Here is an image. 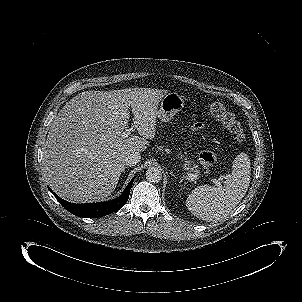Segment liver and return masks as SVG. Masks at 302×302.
Returning <instances> with one entry per match:
<instances>
[{
	"instance_id": "6515ba94",
	"label": "liver",
	"mask_w": 302,
	"mask_h": 302,
	"mask_svg": "<svg viewBox=\"0 0 302 302\" xmlns=\"http://www.w3.org/2000/svg\"><path fill=\"white\" fill-rule=\"evenodd\" d=\"M166 90L86 91L67 102L51 124L43 172L63 199L97 202L115 190L129 152L144 151L156 132V105ZM141 136L123 138L129 127Z\"/></svg>"
}]
</instances>
